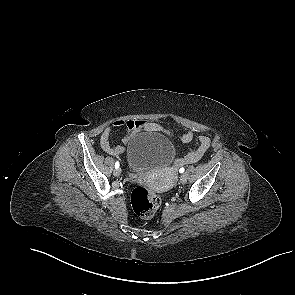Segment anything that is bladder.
Masks as SVG:
<instances>
[{"label":"bladder","mask_w":295,"mask_h":295,"mask_svg":"<svg viewBox=\"0 0 295 295\" xmlns=\"http://www.w3.org/2000/svg\"><path fill=\"white\" fill-rule=\"evenodd\" d=\"M175 159L172 142L158 132H144L130 140L126 161L130 169L147 171L169 166Z\"/></svg>","instance_id":"obj_1"}]
</instances>
